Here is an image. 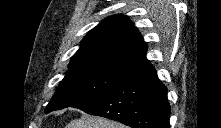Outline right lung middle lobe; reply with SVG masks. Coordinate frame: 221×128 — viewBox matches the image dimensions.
<instances>
[{"label":"right lung middle lobe","mask_w":221,"mask_h":128,"mask_svg":"<svg viewBox=\"0 0 221 128\" xmlns=\"http://www.w3.org/2000/svg\"><path fill=\"white\" fill-rule=\"evenodd\" d=\"M123 78L125 76L98 69L68 70L46 106L45 112L74 107L79 103L89 101L114 87Z\"/></svg>","instance_id":"obj_1"}]
</instances>
